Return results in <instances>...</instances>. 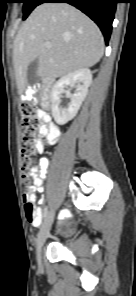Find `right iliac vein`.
I'll return each mask as SVG.
<instances>
[{
  "label": "right iliac vein",
  "mask_w": 136,
  "mask_h": 296,
  "mask_svg": "<svg viewBox=\"0 0 136 296\" xmlns=\"http://www.w3.org/2000/svg\"><path fill=\"white\" fill-rule=\"evenodd\" d=\"M47 219L43 222L40 231L38 233L36 245H37V260L39 264L42 262V249L46 242V239L49 235L50 228L52 226L53 220H54V212L50 211L48 213Z\"/></svg>",
  "instance_id": "right-iliac-vein-1"
}]
</instances>
